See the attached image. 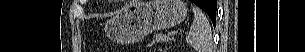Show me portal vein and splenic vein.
Returning a JSON list of instances; mask_svg holds the SVG:
<instances>
[{
    "label": "portal vein and splenic vein",
    "instance_id": "obj_1",
    "mask_svg": "<svg viewBox=\"0 0 305 52\" xmlns=\"http://www.w3.org/2000/svg\"><path fill=\"white\" fill-rule=\"evenodd\" d=\"M172 34H174V35H175V34H177V32H172Z\"/></svg>",
    "mask_w": 305,
    "mask_h": 52
}]
</instances>
